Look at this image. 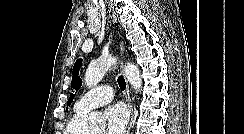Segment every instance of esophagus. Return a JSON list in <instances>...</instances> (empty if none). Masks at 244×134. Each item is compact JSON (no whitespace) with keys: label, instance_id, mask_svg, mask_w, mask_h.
Segmentation results:
<instances>
[{"label":"esophagus","instance_id":"34e87169","mask_svg":"<svg viewBox=\"0 0 244 134\" xmlns=\"http://www.w3.org/2000/svg\"><path fill=\"white\" fill-rule=\"evenodd\" d=\"M119 49H120V55L123 56L124 51H125V46H124L123 41H120ZM121 67L123 68V64ZM124 78L126 81V89H125L124 95H125L126 103L128 105L129 112H130V120H129V124H128L127 130H126V134H130V130L132 127V121H133V107H132V103H131L129 83H128V80L125 75H124Z\"/></svg>","mask_w":244,"mask_h":134}]
</instances>
